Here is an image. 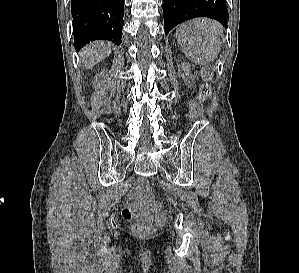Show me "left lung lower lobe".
Instances as JSON below:
<instances>
[{"instance_id":"0a47b994","label":"left lung lower lobe","mask_w":299,"mask_h":273,"mask_svg":"<svg viewBox=\"0 0 299 273\" xmlns=\"http://www.w3.org/2000/svg\"><path fill=\"white\" fill-rule=\"evenodd\" d=\"M163 14L165 34L195 17L213 18L225 27L229 20L226 0H164Z\"/></svg>"}]
</instances>
